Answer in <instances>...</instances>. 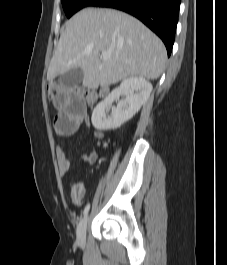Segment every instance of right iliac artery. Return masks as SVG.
Instances as JSON below:
<instances>
[{
	"instance_id": "right-iliac-artery-1",
	"label": "right iliac artery",
	"mask_w": 227,
	"mask_h": 265,
	"mask_svg": "<svg viewBox=\"0 0 227 265\" xmlns=\"http://www.w3.org/2000/svg\"><path fill=\"white\" fill-rule=\"evenodd\" d=\"M89 209H90V204H88V205L85 206V208L83 210V214H82L83 217H85L87 215Z\"/></svg>"
}]
</instances>
